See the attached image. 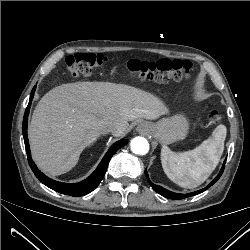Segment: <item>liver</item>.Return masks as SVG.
<instances>
[{
  "label": "liver",
  "instance_id": "liver-1",
  "mask_svg": "<svg viewBox=\"0 0 250 250\" xmlns=\"http://www.w3.org/2000/svg\"><path fill=\"white\" fill-rule=\"evenodd\" d=\"M168 113L153 94L124 84L76 82L46 93L37 104L28 129L31 153L37 166L57 176L70 171L80 154L93 144L109 123L121 127L129 121L155 120Z\"/></svg>",
  "mask_w": 250,
  "mask_h": 250
}]
</instances>
